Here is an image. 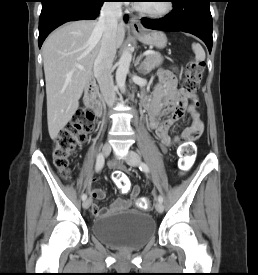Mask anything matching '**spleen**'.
I'll return each instance as SVG.
<instances>
[{
  "instance_id": "spleen-1",
  "label": "spleen",
  "mask_w": 258,
  "mask_h": 275,
  "mask_svg": "<svg viewBox=\"0 0 258 275\" xmlns=\"http://www.w3.org/2000/svg\"><path fill=\"white\" fill-rule=\"evenodd\" d=\"M192 49L195 53V57L197 61H204L205 60V51L202 46L198 43L192 44Z\"/></svg>"
}]
</instances>
